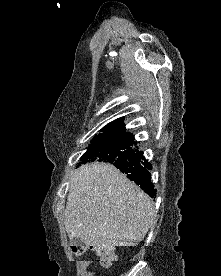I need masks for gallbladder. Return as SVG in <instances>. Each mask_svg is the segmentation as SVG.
<instances>
[{
    "mask_svg": "<svg viewBox=\"0 0 221 276\" xmlns=\"http://www.w3.org/2000/svg\"><path fill=\"white\" fill-rule=\"evenodd\" d=\"M70 244L79 246L82 245V241L79 238H74L70 240Z\"/></svg>",
    "mask_w": 221,
    "mask_h": 276,
    "instance_id": "1",
    "label": "gallbladder"
}]
</instances>
